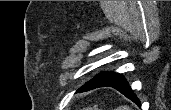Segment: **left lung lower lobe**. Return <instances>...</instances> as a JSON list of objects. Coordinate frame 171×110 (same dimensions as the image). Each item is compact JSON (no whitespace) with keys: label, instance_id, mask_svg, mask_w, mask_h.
<instances>
[{"label":"left lung lower lobe","instance_id":"left-lung-lower-lobe-1","mask_svg":"<svg viewBox=\"0 0 171 110\" xmlns=\"http://www.w3.org/2000/svg\"><path fill=\"white\" fill-rule=\"evenodd\" d=\"M105 86L115 88L116 90L124 94L127 98L136 103L138 106L141 105L139 99L128 86L126 79L121 74L117 73H103L96 79L84 84L81 88L77 90V92H85L88 90Z\"/></svg>","mask_w":171,"mask_h":110}]
</instances>
